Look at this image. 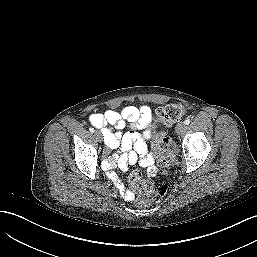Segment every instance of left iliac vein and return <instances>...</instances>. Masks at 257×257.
I'll use <instances>...</instances> for the list:
<instances>
[{
	"instance_id": "left-iliac-vein-1",
	"label": "left iliac vein",
	"mask_w": 257,
	"mask_h": 257,
	"mask_svg": "<svg viewBox=\"0 0 257 257\" xmlns=\"http://www.w3.org/2000/svg\"><path fill=\"white\" fill-rule=\"evenodd\" d=\"M185 129H186L185 123L181 122V123L177 124L175 130H176V133H177V134H181L182 132L185 131Z\"/></svg>"
}]
</instances>
